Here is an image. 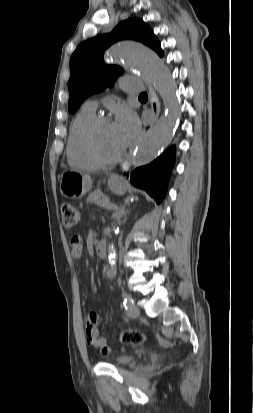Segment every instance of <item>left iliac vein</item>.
<instances>
[{
    "label": "left iliac vein",
    "mask_w": 253,
    "mask_h": 413,
    "mask_svg": "<svg viewBox=\"0 0 253 413\" xmlns=\"http://www.w3.org/2000/svg\"><path fill=\"white\" fill-rule=\"evenodd\" d=\"M139 315H140L139 308L135 304H132V306L130 307V309L128 311V316L131 317V318H136Z\"/></svg>",
    "instance_id": "4c4485c4"
}]
</instances>
